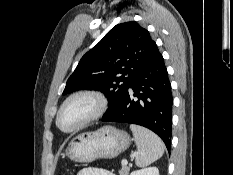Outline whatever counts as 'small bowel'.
<instances>
[{
  "label": "small bowel",
  "instance_id": "obj_1",
  "mask_svg": "<svg viewBox=\"0 0 233 175\" xmlns=\"http://www.w3.org/2000/svg\"><path fill=\"white\" fill-rule=\"evenodd\" d=\"M77 175H116L108 170L105 169H98L93 167H87L81 169Z\"/></svg>",
  "mask_w": 233,
  "mask_h": 175
}]
</instances>
